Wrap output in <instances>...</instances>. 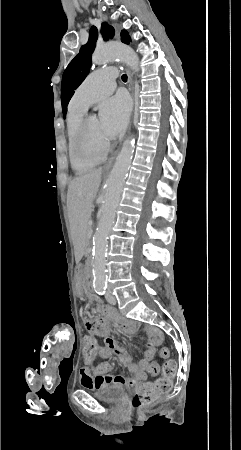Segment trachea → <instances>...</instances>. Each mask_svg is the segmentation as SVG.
<instances>
[{"label":"trachea","instance_id":"trachea-1","mask_svg":"<svg viewBox=\"0 0 241 450\" xmlns=\"http://www.w3.org/2000/svg\"><path fill=\"white\" fill-rule=\"evenodd\" d=\"M122 80H123V81H126V80H127V75H125V74L122 75Z\"/></svg>","mask_w":241,"mask_h":450}]
</instances>
